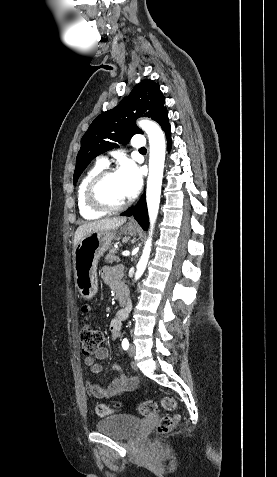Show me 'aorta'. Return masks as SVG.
Segmentation results:
<instances>
[{
    "label": "aorta",
    "mask_w": 277,
    "mask_h": 477,
    "mask_svg": "<svg viewBox=\"0 0 277 477\" xmlns=\"http://www.w3.org/2000/svg\"><path fill=\"white\" fill-rule=\"evenodd\" d=\"M138 125L146 132L149 145H150V154H149V175L147 180V191H146V201L148 207V214L150 219V237L147 239L142 256L137 264V270L135 273V279H139L143 274L151 252L152 245V233L154 229V224L157 219L159 204H160V194H161V185L163 178V169L165 161V136L160 126L150 120H141Z\"/></svg>",
    "instance_id": "aorta-1"
}]
</instances>
